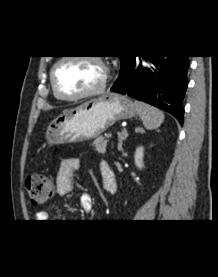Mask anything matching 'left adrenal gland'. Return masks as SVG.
<instances>
[{
  "instance_id": "left-adrenal-gland-1",
  "label": "left adrenal gland",
  "mask_w": 218,
  "mask_h": 277,
  "mask_svg": "<svg viewBox=\"0 0 218 277\" xmlns=\"http://www.w3.org/2000/svg\"><path fill=\"white\" fill-rule=\"evenodd\" d=\"M119 142H120V147H121V144H122V140L125 139V137H123V134H119Z\"/></svg>"
}]
</instances>
